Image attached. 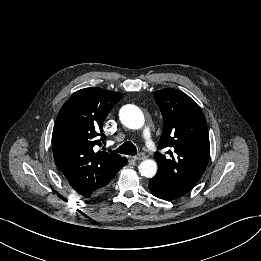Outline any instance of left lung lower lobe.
Returning <instances> with one entry per match:
<instances>
[{
  "mask_svg": "<svg viewBox=\"0 0 261 261\" xmlns=\"http://www.w3.org/2000/svg\"><path fill=\"white\" fill-rule=\"evenodd\" d=\"M149 190L154 196L163 200H175L182 196L170 190L159 178L155 176L149 181Z\"/></svg>",
  "mask_w": 261,
  "mask_h": 261,
  "instance_id": "0a47b994",
  "label": "left lung lower lobe"
}]
</instances>
